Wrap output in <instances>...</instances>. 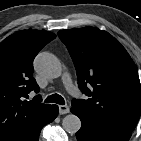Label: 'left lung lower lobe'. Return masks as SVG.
Here are the masks:
<instances>
[{
    "mask_svg": "<svg viewBox=\"0 0 141 141\" xmlns=\"http://www.w3.org/2000/svg\"><path fill=\"white\" fill-rule=\"evenodd\" d=\"M70 110L82 123L76 133L78 141H128L131 137L132 132L105 125L83 109L72 107Z\"/></svg>",
    "mask_w": 141,
    "mask_h": 141,
    "instance_id": "left-lung-lower-lobe-1",
    "label": "left lung lower lobe"
}]
</instances>
